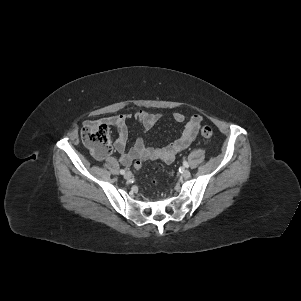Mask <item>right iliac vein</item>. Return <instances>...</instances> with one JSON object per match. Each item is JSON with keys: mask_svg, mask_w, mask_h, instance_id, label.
<instances>
[{"mask_svg": "<svg viewBox=\"0 0 301 301\" xmlns=\"http://www.w3.org/2000/svg\"><path fill=\"white\" fill-rule=\"evenodd\" d=\"M132 177V173L130 171L125 172L124 178L125 179H130Z\"/></svg>", "mask_w": 301, "mask_h": 301, "instance_id": "obj_1", "label": "right iliac vein"}]
</instances>
